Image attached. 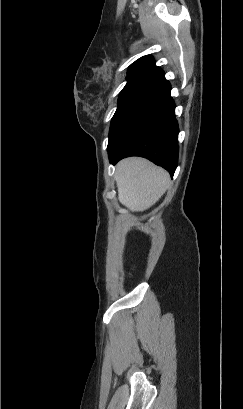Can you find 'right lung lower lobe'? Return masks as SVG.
<instances>
[{"label":"right lung lower lobe","mask_w":243,"mask_h":409,"mask_svg":"<svg viewBox=\"0 0 243 409\" xmlns=\"http://www.w3.org/2000/svg\"><path fill=\"white\" fill-rule=\"evenodd\" d=\"M167 80L129 116L108 145L110 163L141 156L165 168L173 176L178 161V124Z\"/></svg>","instance_id":"right-lung-lower-lobe-1"}]
</instances>
